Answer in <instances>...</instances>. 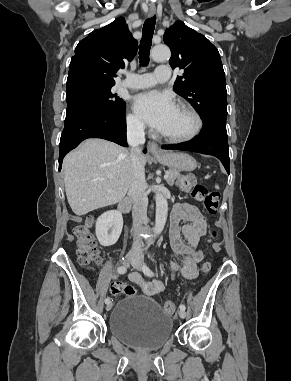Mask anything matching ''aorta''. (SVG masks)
Here are the masks:
<instances>
[{"label": "aorta", "instance_id": "1", "mask_svg": "<svg viewBox=\"0 0 291 381\" xmlns=\"http://www.w3.org/2000/svg\"><path fill=\"white\" fill-rule=\"evenodd\" d=\"M171 56L170 49L166 45H156L151 50V57L154 61L162 62L169 60ZM156 201V217H155V234H160L165 226L167 214H168V203L166 198L157 193L155 195Z\"/></svg>", "mask_w": 291, "mask_h": 381}]
</instances>
